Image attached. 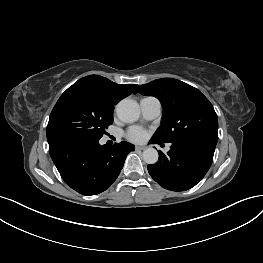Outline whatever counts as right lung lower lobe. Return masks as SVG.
<instances>
[{"mask_svg": "<svg viewBox=\"0 0 263 263\" xmlns=\"http://www.w3.org/2000/svg\"><path fill=\"white\" fill-rule=\"evenodd\" d=\"M134 145L122 141L100 145L99 139L70 138L49 143V153L62 179L83 195H96L116 180Z\"/></svg>", "mask_w": 263, "mask_h": 263, "instance_id": "1", "label": "right lung lower lobe"}]
</instances>
